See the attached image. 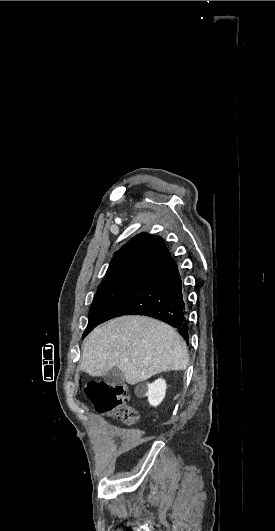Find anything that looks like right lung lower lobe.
<instances>
[{"instance_id":"1","label":"right lung lower lobe","mask_w":275,"mask_h":531,"mask_svg":"<svg viewBox=\"0 0 275 531\" xmlns=\"http://www.w3.org/2000/svg\"><path fill=\"white\" fill-rule=\"evenodd\" d=\"M131 314L162 320L189 340L185 292L178 266L168 250L145 268L136 282L108 309L102 322Z\"/></svg>"}]
</instances>
